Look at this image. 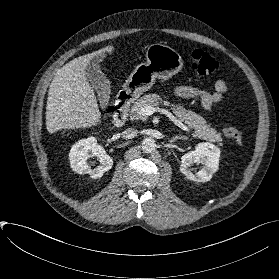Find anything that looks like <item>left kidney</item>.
Segmentation results:
<instances>
[{"instance_id":"5707ae66","label":"left kidney","mask_w":279,"mask_h":279,"mask_svg":"<svg viewBox=\"0 0 279 279\" xmlns=\"http://www.w3.org/2000/svg\"><path fill=\"white\" fill-rule=\"evenodd\" d=\"M220 149L214 144L203 142L194 151L184 154L181 158L180 171L189 179L196 182L211 180L213 173L218 170ZM193 163L203 164L197 173L191 171Z\"/></svg>"}]
</instances>
